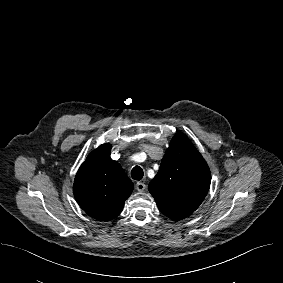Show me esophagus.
Returning <instances> with one entry per match:
<instances>
[{
	"label": "esophagus",
	"mask_w": 283,
	"mask_h": 283,
	"mask_svg": "<svg viewBox=\"0 0 283 283\" xmlns=\"http://www.w3.org/2000/svg\"><path fill=\"white\" fill-rule=\"evenodd\" d=\"M145 188H146V185L143 182H137L136 183L137 191L142 192V191L145 190Z\"/></svg>",
	"instance_id": "esophagus-1"
}]
</instances>
